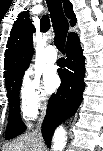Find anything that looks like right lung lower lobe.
I'll use <instances>...</instances> for the list:
<instances>
[{
    "mask_svg": "<svg viewBox=\"0 0 103 151\" xmlns=\"http://www.w3.org/2000/svg\"><path fill=\"white\" fill-rule=\"evenodd\" d=\"M77 34L68 36L66 43V59L62 61V69L58 70L61 85L53 94L47 105L46 116L42 125L45 143L50 146L55 128L67 117L72 116L79 107L85 88V62Z\"/></svg>",
    "mask_w": 103,
    "mask_h": 151,
    "instance_id": "1",
    "label": "right lung lower lobe"
}]
</instances>
